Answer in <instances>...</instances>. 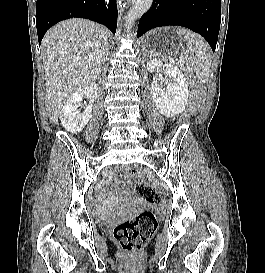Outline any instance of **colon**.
<instances>
[{"label":"colon","mask_w":265,"mask_h":273,"mask_svg":"<svg viewBox=\"0 0 265 273\" xmlns=\"http://www.w3.org/2000/svg\"><path fill=\"white\" fill-rule=\"evenodd\" d=\"M127 178L132 184L137 197L148 204L158 203L160 194L147 183L139 180L136 168L127 170ZM157 229V220L150 210L117 224L113 230L114 239L127 250H140Z\"/></svg>","instance_id":"obj_1"}]
</instances>
